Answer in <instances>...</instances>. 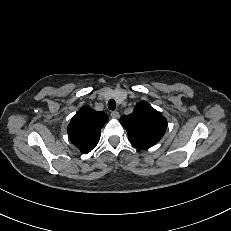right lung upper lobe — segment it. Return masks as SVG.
Masks as SVG:
<instances>
[{
  "label": "right lung upper lobe",
  "mask_w": 231,
  "mask_h": 231,
  "mask_svg": "<svg viewBox=\"0 0 231 231\" xmlns=\"http://www.w3.org/2000/svg\"><path fill=\"white\" fill-rule=\"evenodd\" d=\"M108 121V115L90 107H82L71 119L68 125V135L71 142L83 154L89 153L98 144L100 130Z\"/></svg>",
  "instance_id": "right-lung-upper-lobe-1"
}]
</instances>
